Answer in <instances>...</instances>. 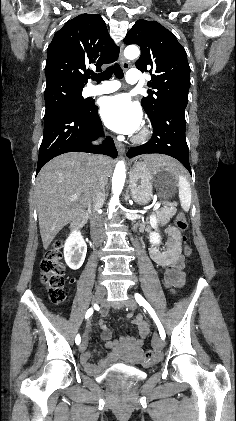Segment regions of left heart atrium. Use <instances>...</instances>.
Instances as JSON below:
<instances>
[{
	"label": "left heart atrium",
	"mask_w": 236,
	"mask_h": 421,
	"mask_svg": "<svg viewBox=\"0 0 236 421\" xmlns=\"http://www.w3.org/2000/svg\"><path fill=\"white\" fill-rule=\"evenodd\" d=\"M100 113L106 125L115 132L136 133L143 124L140 109L124 94L104 98Z\"/></svg>",
	"instance_id": "39dd6f15"
}]
</instances>
